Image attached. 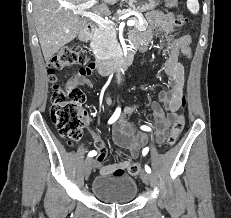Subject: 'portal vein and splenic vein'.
<instances>
[{"mask_svg": "<svg viewBox=\"0 0 231 218\" xmlns=\"http://www.w3.org/2000/svg\"><path fill=\"white\" fill-rule=\"evenodd\" d=\"M95 3H96V0H89L86 3H82V4H79V5L68 6V8L73 10L75 13H79V14L83 13V16L88 17L89 19H91L95 23L99 24L100 26L105 27L107 25H113L112 21L105 20L103 17H101L98 14L91 13V12H85L86 9L92 7ZM127 25L128 26H134L135 21L134 20H129L127 22Z\"/></svg>", "mask_w": 231, "mask_h": 218, "instance_id": "18ae733b", "label": "portal vein and splenic vein"}]
</instances>
